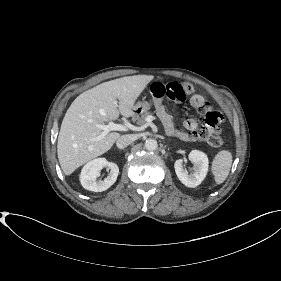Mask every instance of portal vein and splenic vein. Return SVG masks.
I'll return each mask as SVG.
<instances>
[{
	"label": "portal vein and splenic vein",
	"mask_w": 281,
	"mask_h": 281,
	"mask_svg": "<svg viewBox=\"0 0 281 281\" xmlns=\"http://www.w3.org/2000/svg\"><path fill=\"white\" fill-rule=\"evenodd\" d=\"M147 121H150V118H149V120L147 118ZM97 127L102 130V133L98 137L94 138L93 139L94 141L103 139L110 131H128V130L137 129L135 126H133L130 123L117 124V123H114L113 121H110L107 125L99 124V125H97Z\"/></svg>",
	"instance_id": "1"
}]
</instances>
